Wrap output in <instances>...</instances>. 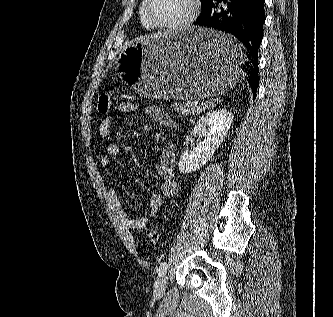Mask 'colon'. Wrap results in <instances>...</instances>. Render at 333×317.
Instances as JSON below:
<instances>
[{
    "instance_id": "colon-1",
    "label": "colon",
    "mask_w": 333,
    "mask_h": 317,
    "mask_svg": "<svg viewBox=\"0 0 333 317\" xmlns=\"http://www.w3.org/2000/svg\"><path fill=\"white\" fill-rule=\"evenodd\" d=\"M112 104V94L103 93L99 96L97 102V111L100 115H106L109 113ZM149 241L151 243H157L159 240V233L155 230H152L148 234Z\"/></svg>"
}]
</instances>
